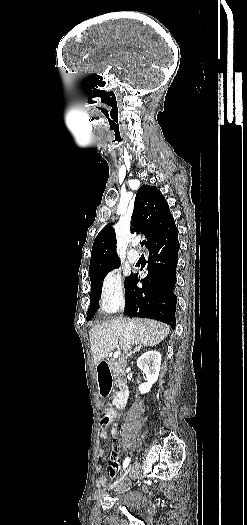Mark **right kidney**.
Wrapping results in <instances>:
<instances>
[{"label":"right kidney","mask_w":247,"mask_h":525,"mask_svg":"<svg viewBox=\"0 0 247 525\" xmlns=\"http://www.w3.org/2000/svg\"><path fill=\"white\" fill-rule=\"evenodd\" d=\"M137 367L145 373L147 377V383L139 385L138 389L141 395L149 393L152 385L158 381L160 369H161V355L157 351H147L143 353L139 359H137Z\"/></svg>","instance_id":"right-kidney-1"}]
</instances>
